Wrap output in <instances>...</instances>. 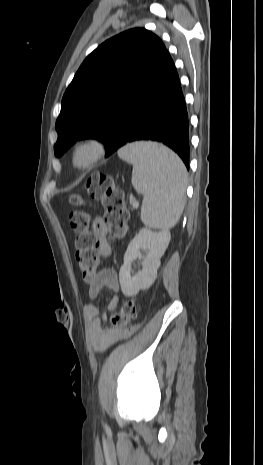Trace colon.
<instances>
[{"label": "colon", "mask_w": 263, "mask_h": 465, "mask_svg": "<svg viewBox=\"0 0 263 465\" xmlns=\"http://www.w3.org/2000/svg\"><path fill=\"white\" fill-rule=\"evenodd\" d=\"M88 194L99 200L104 207L103 223L117 237L122 238L127 231L129 214L126 209L123 192L115 185L111 176L93 174L86 183ZM74 206H81L83 200L79 196L70 199ZM70 226L76 233L75 255L83 280L91 284L96 279L98 267L97 238L90 229L89 216L80 210L73 211L69 216ZM137 313L135 301L125 302L121 309L114 313L109 320L110 329H133L131 321Z\"/></svg>", "instance_id": "obj_1"}]
</instances>
